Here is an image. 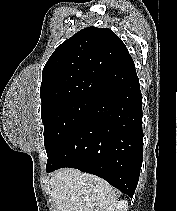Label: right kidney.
I'll return each mask as SVG.
<instances>
[{"label":"right kidney","instance_id":"1","mask_svg":"<svg viewBox=\"0 0 178 211\" xmlns=\"http://www.w3.org/2000/svg\"><path fill=\"white\" fill-rule=\"evenodd\" d=\"M127 208H128V202L125 200H121L109 206V208L106 211H127Z\"/></svg>","mask_w":178,"mask_h":211}]
</instances>
